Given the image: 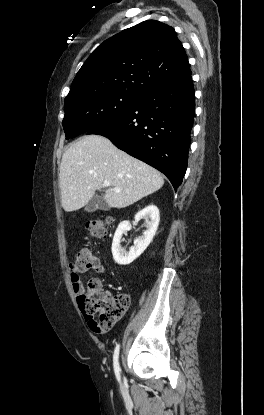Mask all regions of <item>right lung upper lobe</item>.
Segmentation results:
<instances>
[{
	"label": "right lung upper lobe",
	"instance_id": "1",
	"mask_svg": "<svg viewBox=\"0 0 264 415\" xmlns=\"http://www.w3.org/2000/svg\"><path fill=\"white\" fill-rule=\"evenodd\" d=\"M189 75L188 58L175 30L147 20L98 46L76 74L65 100L107 92L142 96Z\"/></svg>",
	"mask_w": 264,
	"mask_h": 415
}]
</instances>
